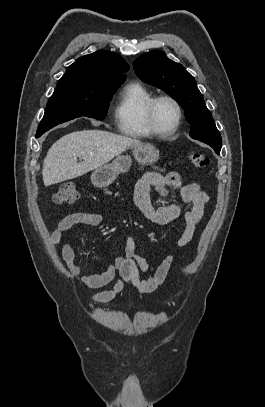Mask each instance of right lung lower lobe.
I'll use <instances>...</instances> for the list:
<instances>
[{
	"label": "right lung lower lobe",
	"instance_id": "right-lung-lower-lobe-1",
	"mask_svg": "<svg viewBox=\"0 0 265 407\" xmlns=\"http://www.w3.org/2000/svg\"><path fill=\"white\" fill-rule=\"evenodd\" d=\"M42 135V134H41ZM41 135H37L36 137H40Z\"/></svg>",
	"mask_w": 265,
	"mask_h": 407
}]
</instances>
